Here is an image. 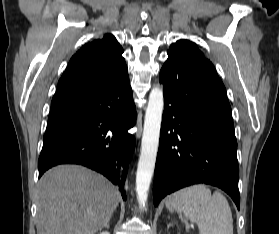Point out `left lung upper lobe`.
Masks as SVG:
<instances>
[{
  "instance_id": "obj_1",
  "label": "left lung upper lobe",
  "mask_w": 279,
  "mask_h": 234,
  "mask_svg": "<svg viewBox=\"0 0 279 234\" xmlns=\"http://www.w3.org/2000/svg\"><path fill=\"white\" fill-rule=\"evenodd\" d=\"M170 48L185 49L186 51L194 54L195 56L208 60L204 57V54L198 49L195 43L188 40H179L175 44H172Z\"/></svg>"
}]
</instances>
